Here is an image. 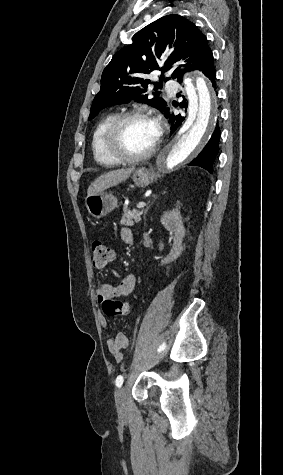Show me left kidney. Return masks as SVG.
I'll return each instance as SVG.
<instances>
[{
	"instance_id": "left-kidney-1",
	"label": "left kidney",
	"mask_w": 283,
	"mask_h": 475,
	"mask_svg": "<svg viewBox=\"0 0 283 475\" xmlns=\"http://www.w3.org/2000/svg\"><path fill=\"white\" fill-rule=\"evenodd\" d=\"M161 224H163L168 232H172L173 234V243L170 253H168L167 257L161 259L160 263V265H166V263L175 261L177 257H180L183 251L182 241L186 236V230L183 226V218L178 208L171 210V212H164L163 216H161Z\"/></svg>"
}]
</instances>
